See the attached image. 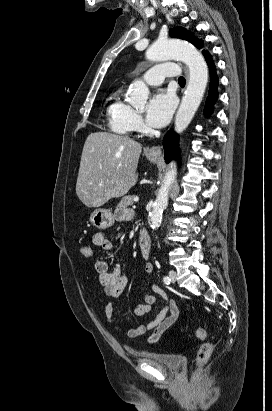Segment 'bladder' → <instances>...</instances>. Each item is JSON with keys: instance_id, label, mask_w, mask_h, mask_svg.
Segmentation results:
<instances>
[{"instance_id": "obj_1", "label": "bladder", "mask_w": 272, "mask_h": 411, "mask_svg": "<svg viewBox=\"0 0 272 411\" xmlns=\"http://www.w3.org/2000/svg\"><path fill=\"white\" fill-rule=\"evenodd\" d=\"M141 358L150 362L153 365L164 367L170 371L178 370L183 363V357L180 354H164V353H143Z\"/></svg>"}]
</instances>
